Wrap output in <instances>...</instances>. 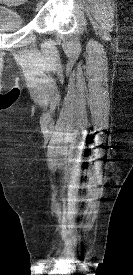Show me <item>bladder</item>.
<instances>
[{
    "label": "bladder",
    "instance_id": "obj_1",
    "mask_svg": "<svg viewBox=\"0 0 133 275\" xmlns=\"http://www.w3.org/2000/svg\"><path fill=\"white\" fill-rule=\"evenodd\" d=\"M25 26L22 14L4 5H0V31H15Z\"/></svg>",
    "mask_w": 133,
    "mask_h": 275
}]
</instances>
